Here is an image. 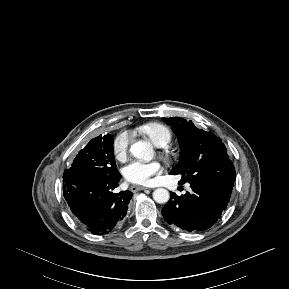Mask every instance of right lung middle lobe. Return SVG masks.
Instances as JSON below:
<instances>
[{
	"mask_svg": "<svg viewBox=\"0 0 289 289\" xmlns=\"http://www.w3.org/2000/svg\"><path fill=\"white\" fill-rule=\"evenodd\" d=\"M113 135L98 136L81 150L66 171L77 172L87 177H104L115 172Z\"/></svg>",
	"mask_w": 289,
	"mask_h": 289,
	"instance_id": "right-lung-middle-lobe-1",
	"label": "right lung middle lobe"
}]
</instances>
